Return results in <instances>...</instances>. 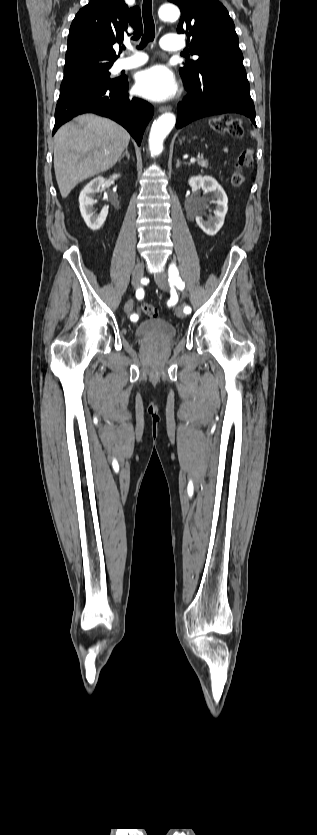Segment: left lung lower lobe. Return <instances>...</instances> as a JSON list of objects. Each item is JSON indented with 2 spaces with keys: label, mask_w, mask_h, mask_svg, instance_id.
<instances>
[{
  "label": "left lung lower lobe",
  "mask_w": 317,
  "mask_h": 835,
  "mask_svg": "<svg viewBox=\"0 0 317 835\" xmlns=\"http://www.w3.org/2000/svg\"><path fill=\"white\" fill-rule=\"evenodd\" d=\"M182 78L187 96L178 104L177 128L224 113L242 114L256 126L254 103L241 62L215 61L205 65L198 75Z\"/></svg>",
  "instance_id": "1"
}]
</instances>
